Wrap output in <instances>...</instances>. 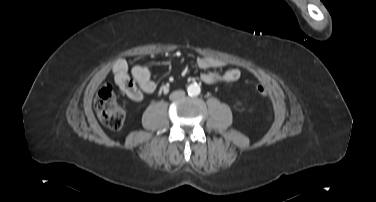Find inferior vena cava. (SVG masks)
<instances>
[{"instance_id":"inferior-vena-cava-1","label":"inferior vena cava","mask_w":376,"mask_h":202,"mask_svg":"<svg viewBox=\"0 0 376 202\" xmlns=\"http://www.w3.org/2000/svg\"><path fill=\"white\" fill-rule=\"evenodd\" d=\"M184 95H185V92L182 91V90L175 91V92L170 94V100H174L176 98L183 97Z\"/></svg>"}]
</instances>
